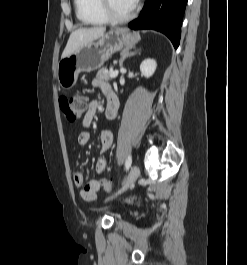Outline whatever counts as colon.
I'll use <instances>...</instances> for the list:
<instances>
[{"label":"colon","instance_id":"colon-1","mask_svg":"<svg viewBox=\"0 0 247 265\" xmlns=\"http://www.w3.org/2000/svg\"><path fill=\"white\" fill-rule=\"evenodd\" d=\"M59 106L68 121L74 122L80 119L87 109L86 98L75 93L70 96H63L59 99ZM101 187L108 193L113 192L112 181L110 179L101 178L99 181ZM127 203H133L131 199H125Z\"/></svg>","mask_w":247,"mask_h":265}]
</instances>
